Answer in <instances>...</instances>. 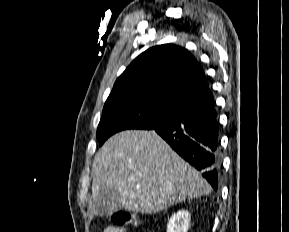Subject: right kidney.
<instances>
[{"instance_id":"1","label":"right kidney","mask_w":289,"mask_h":232,"mask_svg":"<svg viewBox=\"0 0 289 232\" xmlns=\"http://www.w3.org/2000/svg\"><path fill=\"white\" fill-rule=\"evenodd\" d=\"M190 223V213L179 210L174 213L167 224V232H187Z\"/></svg>"}]
</instances>
